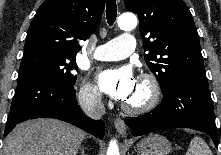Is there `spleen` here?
<instances>
[{"instance_id": "obj_1", "label": "spleen", "mask_w": 221, "mask_h": 155, "mask_svg": "<svg viewBox=\"0 0 221 155\" xmlns=\"http://www.w3.org/2000/svg\"><path fill=\"white\" fill-rule=\"evenodd\" d=\"M186 155H212V152L202 138L194 136L191 139Z\"/></svg>"}]
</instances>
